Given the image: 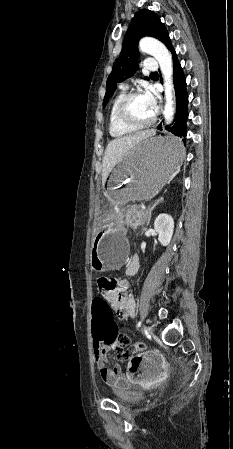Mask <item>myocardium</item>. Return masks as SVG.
<instances>
[{"mask_svg":"<svg viewBox=\"0 0 233 449\" xmlns=\"http://www.w3.org/2000/svg\"><path fill=\"white\" fill-rule=\"evenodd\" d=\"M139 95H142V92L139 90H135V91L126 93L120 99V101L117 105V108H116V114H117L118 120L125 126L131 127L134 129H141V128L149 127L156 120L155 113L149 120H147L145 122L136 121L135 119H133L131 117V115L129 114V111H128V105L134 97L139 96Z\"/></svg>","mask_w":233,"mask_h":449,"instance_id":"myocardium-1","label":"myocardium"}]
</instances>
